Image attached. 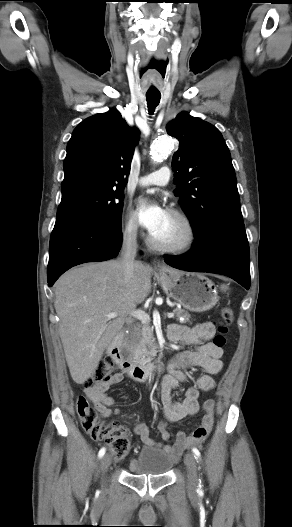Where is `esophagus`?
<instances>
[{
  "mask_svg": "<svg viewBox=\"0 0 292 527\" xmlns=\"http://www.w3.org/2000/svg\"><path fill=\"white\" fill-rule=\"evenodd\" d=\"M157 267H158V269H160V270L163 269V266H162L159 262H157Z\"/></svg>",
  "mask_w": 292,
  "mask_h": 527,
  "instance_id": "esophagus-1",
  "label": "esophagus"
}]
</instances>
